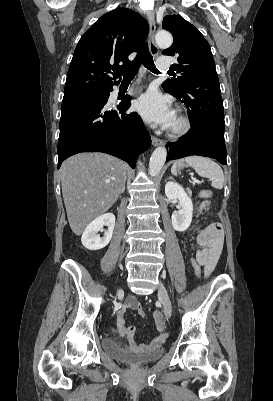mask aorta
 <instances>
[{
	"mask_svg": "<svg viewBox=\"0 0 273 401\" xmlns=\"http://www.w3.org/2000/svg\"><path fill=\"white\" fill-rule=\"evenodd\" d=\"M156 44L159 47L168 48L173 42V38L169 32L159 31L155 36ZM167 150L164 147L156 148L150 158L149 173L151 176H157L163 165L165 164Z\"/></svg>",
	"mask_w": 273,
	"mask_h": 401,
	"instance_id": "obj_1",
	"label": "aorta"
}]
</instances>
